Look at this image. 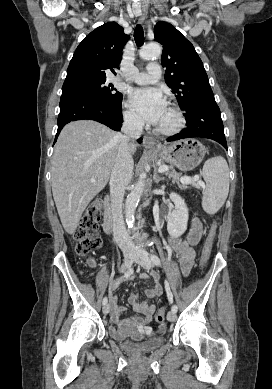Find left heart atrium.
<instances>
[{
    "label": "left heart atrium",
    "instance_id": "1",
    "mask_svg": "<svg viewBox=\"0 0 272 389\" xmlns=\"http://www.w3.org/2000/svg\"><path fill=\"white\" fill-rule=\"evenodd\" d=\"M129 105L145 122L157 125L165 112L166 100L157 88H136L129 94Z\"/></svg>",
    "mask_w": 272,
    "mask_h": 389
}]
</instances>
